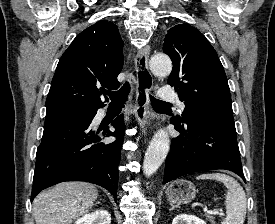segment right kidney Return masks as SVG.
<instances>
[{
	"label": "right kidney",
	"mask_w": 275,
	"mask_h": 224,
	"mask_svg": "<svg viewBox=\"0 0 275 224\" xmlns=\"http://www.w3.org/2000/svg\"><path fill=\"white\" fill-rule=\"evenodd\" d=\"M111 215L106 210H96L93 213L85 214L74 224H110Z\"/></svg>",
	"instance_id": "obj_1"
}]
</instances>
